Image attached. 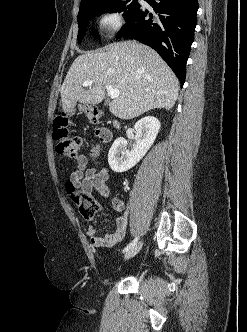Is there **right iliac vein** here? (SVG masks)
<instances>
[{"label": "right iliac vein", "mask_w": 247, "mask_h": 332, "mask_svg": "<svg viewBox=\"0 0 247 332\" xmlns=\"http://www.w3.org/2000/svg\"><path fill=\"white\" fill-rule=\"evenodd\" d=\"M142 248V242H139L137 245L129 249L125 255H124V260H128L132 257H134Z\"/></svg>", "instance_id": "63e3f726"}]
</instances>
